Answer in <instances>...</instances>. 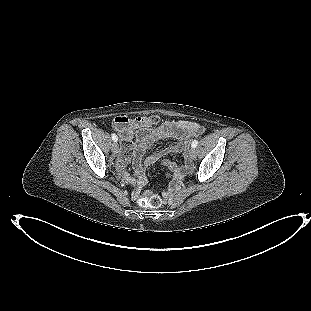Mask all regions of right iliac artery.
Here are the masks:
<instances>
[{
    "label": "right iliac artery",
    "mask_w": 311,
    "mask_h": 311,
    "mask_svg": "<svg viewBox=\"0 0 311 311\" xmlns=\"http://www.w3.org/2000/svg\"><path fill=\"white\" fill-rule=\"evenodd\" d=\"M111 137H112V140H113L114 142H117L118 137H117L116 134L113 133V134L111 135Z\"/></svg>",
    "instance_id": "right-iliac-artery-1"
}]
</instances>
